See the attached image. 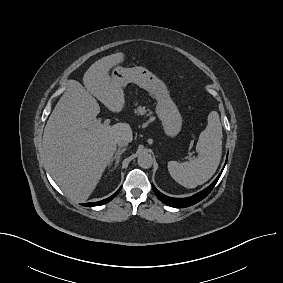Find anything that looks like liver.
Wrapping results in <instances>:
<instances>
[{"instance_id": "1", "label": "liver", "mask_w": 283, "mask_h": 283, "mask_svg": "<svg viewBox=\"0 0 283 283\" xmlns=\"http://www.w3.org/2000/svg\"><path fill=\"white\" fill-rule=\"evenodd\" d=\"M123 53L103 57L85 72L82 86L72 80L52 111L43 134L47 168L61 190L75 202H84L96 188L119 139L133 140L127 123L96 126L99 100L112 112H121L125 94L119 80L109 76ZM97 98V100L95 99Z\"/></svg>"}]
</instances>
